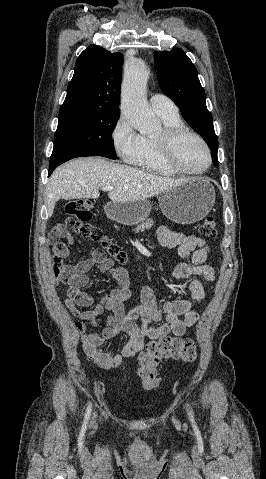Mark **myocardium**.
I'll use <instances>...</instances> for the list:
<instances>
[{
    "label": "myocardium",
    "instance_id": "1",
    "mask_svg": "<svg viewBox=\"0 0 266 479\" xmlns=\"http://www.w3.org/2000/svg\"><path fill=\"white\" fill-rule=\"evenodd\" d=\"M190 135L195 137L205 149L207 155V164L201 170L190 171L183 168L176 160L175 147L180 138ZM157 142L160 149L162 160L165 164L176 173L184 175H201L208 171L212 165V153L206 140L196 131H193L185 126L165 127L159 135H157Z\"/></svg>",
    "mask_w": 266,
    "mask_h": 479
}]
</instances>
